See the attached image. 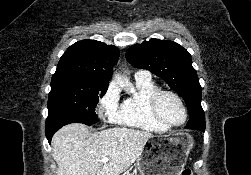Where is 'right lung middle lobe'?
I'll return each mask as SVG.
<instances>
[{
	"mask_svg": "<svg viewBox=\"0 0 251 175\" xmlns=\"http://www.w3.org/2000/svg\"><path fill=\"white\" fill-rule=\"evenodd\" d=\"M107 88L52 79L46 121L74 117L80 119V123L93 125L98 119L95 113L96 104Z\"/></svg>",
	"mask_w": 251,
	"mask_h": 175,
	"instance_id": "dd1d6c3e",
	"label": "right lung middle lobe"
}]
</instances>
